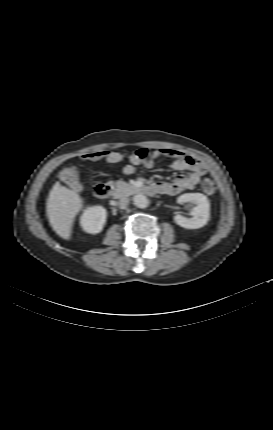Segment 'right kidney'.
Masks as SVG:
<instances>
[{
	"mask_svg": "<svg viewBox=\"0 0 273 430\" xmlns=\"http://www.w3.org/2000/svg\"><path fill=\"white\" fill-rule=\"evenodd\" d=\"M106 216V210L102 206L90 207L85 210L81 217V226L87 233H99L106 222Z\"/></svg>",
	"mask_w": 273,
	"mask_h": 430,
	"instance_id": "right-kidney-1",
	"label": "right kidney"
}]
</instances>
